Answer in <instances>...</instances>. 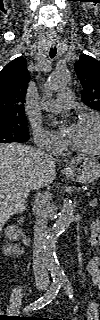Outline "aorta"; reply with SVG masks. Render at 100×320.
<instances>
[{"instance_id":"762f6f07","label":"aorta","mask_w":100,"mask_h":320,"mask_svg":"<svg viewBox=\"0 0 100 320\" xmlns=\"http://www.w3.org/2000/svg\"><path fill=\"white\" fill-rule=\"evenodd\" d=\"M70 80V73L67 69H56L49 76L46 82L47 91H54L66 85ZM74 217V207L71 201L63 202L58 219L48 233L44 246L45 261L51 276L55 280H64L65 274L61 268L56 255V243L61 235L71 224Z\"/></svg>"}]
</instances>
